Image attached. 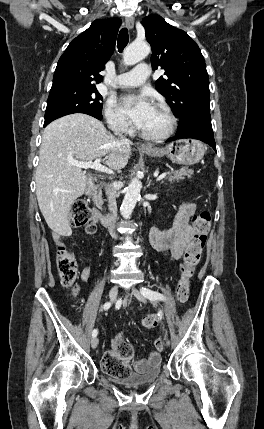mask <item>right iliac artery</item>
Returning a JSON list of instances; mask_svg holds the SVG:
<instances>
[{
    "mask_svg": "<svg viewBox=\"0 0 264 429\" xmlns=\"http://www.w3.org/2000/svg\"><path fill=\"white\" fill-rule=\"evenodd\" d=\"M110 307H111V303H110V302H106V303L103 305V309H104V310H108ZM97 334H98V330H97V329H94V330L92 331V337H96V336H97Z\"/></svg>",
    "mask_w": 264,
    "mask_h": 429,
    "instance_id": "obj_1",
    "label": "right iliac artery"
}]
</instances>
